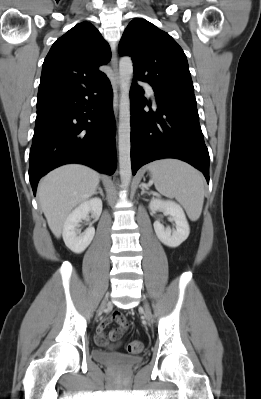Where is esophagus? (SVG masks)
<instances>
[{"label":"esophagus","instance_id":"obj_1","mask_svg":"<svg viewBox=\"0 0 261 399\" xmlns=\"http://www.w3.org/2000/svg\"><path fill=\"white\" fill-rule=\"evenodd\" d=\"M111 67H112V83L118 90L120 87V77L118 72V58L115 47L112 49V58H111Z\"/></svg>","mask_w":261,"mask_h":399}]
</instances>
